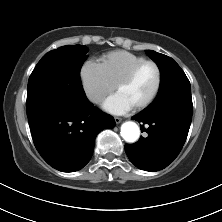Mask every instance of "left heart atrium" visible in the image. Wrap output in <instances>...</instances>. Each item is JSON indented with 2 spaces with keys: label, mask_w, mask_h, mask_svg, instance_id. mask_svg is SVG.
I'll return each instance as SVG.
<instances>
[{
  "label": "left heart atrium",
  "mask_w": 222,
  "mask_h": 222,
  "mask_svg": "<svg viewBox=\"0 0 222 222\" xmlns=\"http://www.w3.org/2000/svg\"><path fill=\"white\" fill-rule=\"evenodd\" d=\"M102 107L105 111L114 115L126 114L134 108V106L119 92L109 96L103 102Z\"/></svg>",
  "instance_id": "39dd6f15"
}]
</instances>
